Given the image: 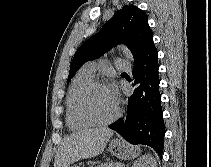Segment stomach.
<instances>
[{
    "mask_svg": "<svg viewBox=\"0 0 211 167\" xmlns=\"http://www.w3.org/2000/svg\"><path fill=\"white\" fill-rule=\"evenodd\" d=\"M109 151L115 157L122 160H127L137 157L140 153V148L129 146L121 139H114L109 144ZM71 167H80V164H75Z\"/></svg>",
    "mask_w": 211,
    "mask_h": 167,
    "instance_id": "0dacf381",
    "label": "stomach"
}]
</instances>
